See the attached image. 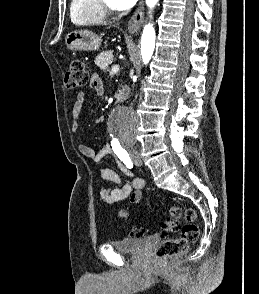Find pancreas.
<instances>
[{
	"instance_id": "cf45deb5",
	"label": "pancreas",
	"mask_w": 259,
	"mask_h": 294,
	"mask_svg": "<svg viewBox=\"0 0 259 294\" xmlns=\"http://www.w3.org/2000/svg\"><path fill=\"white\" fill-rule=\"evenodd\" d=\"M113 61V53L112 51H105L100 53L96 59L95 64L103 71L108 70V65Z\"/></svg>"
}]
</instances>
